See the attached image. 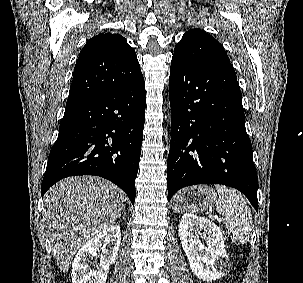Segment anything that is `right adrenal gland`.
<instances>
[{"label": "right adrenal gland", "mask_w": 303, "mask_h": 283, "mask_svg": "<svg viewBox=\"0 0 303 283\" xmlns=\"http://www.w3.org/2000/svg\"><path fill=\"white\" fill-rule=\"evenodd\" d=\"M122 216H123L124 218L126 217L125 209H124L123 212H122Z\"/></svg>", "instance_id": "1"}]
</instances>
